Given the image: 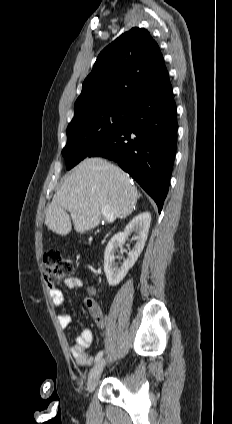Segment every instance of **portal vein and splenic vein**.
<instances>
[{
  "label": "portal vein and splenic vein",
  "instance_id": "obj_1",
  "mask_svg": "<svg viewBox=\"0 0 232 424\" xmlns=\"http://www.w3.org/2000/svg\"><path fill=\"white\" fill-rule=\"evenodd\" d=\"M101 212L108 223H112L115 220L114 214L110 211L108 206H102Z\"/></svg>",
  "mask_w": 232,
  "mask_h": 424
}]
</instances>
